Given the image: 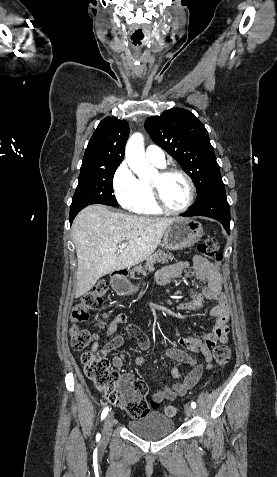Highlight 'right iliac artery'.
<instances>
[{
	"label": "right iliac artery",
	"instance_id": "right-iliac-artery-1",
	"mask_svg": "<svg viewBox=\"0 0 277 477\" xmlns=\"http://www.w3.org/2000/svg\"><path fill=\"white\" fill-rule=\"evenodd\" d=\"M108 411H109V408H105L103 411H102V414H101V419L103 420L106 415L108 414ZM98 437H99V434H98Z\"/></svg>",
	"mask_w": 277,
	"mask_h": 477
}]
</instances>
